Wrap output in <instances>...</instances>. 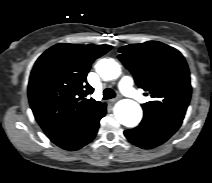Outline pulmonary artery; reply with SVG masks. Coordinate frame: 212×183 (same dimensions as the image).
<instances>
[{
	"mask_svg": "<svg viewBox=\"0 0 212 183\" xmlns=\"http://www.w3.org/2000/svg\"><path fill=\"white\" fill-rule=\"evenodd\" d=\"M118 86L124 95L131 97L137 100L138 102L144 103L147 101V99L139 91L134 89L133 79L131 77L124 76L123 78H121V80L118 83Z\"/></svg>",
	"mask_w": 212,
	"mask_h": 183,
	"instance_id": "pulmonary-artery-1",
	"label": "pulmonary artery"
}]
</instances>
